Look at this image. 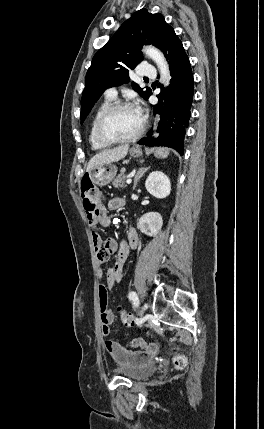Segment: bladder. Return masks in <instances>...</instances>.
<instances>
[{"label": "bladder", "instance_id": "31cf9c89", "mask_svg": "<svg viewBox=\"0 0 264 429\" xmlns=\"http://www.w3.org/2000/svg\"><path fill=\"white\" fill-rule=\"evenodd\" d=\"M156 370V364L153 361H149L138 365L120 367L117 372L124 378L132 381H139L150 377Z\"/></svg>", "mask_w": 264, "mask_h": 429}]
</instances>
